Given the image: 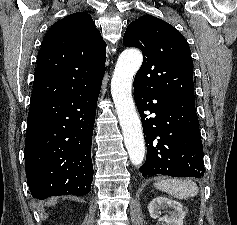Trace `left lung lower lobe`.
Returning a JSON list of instances; mask_svg holds the SVG:
<instances>
[{
    "mask_svg": "<svg viewBox=\"0 0 237 225\" xmlns=\"http://www.w3.org/2000/svg\"><path fill=\"white\" fill-rule=\"evenodd\" d=\"M134 98L147 146L146 162L140 167L142 175L202 177L203 146L195 100L167 98L136 86Z\"/></svg>",
    "mask_w": 237,
    "mask_h": 225,
    "instance_id": "left-lung-lower-lobe-1",
    "label": "left lung lower lobe"
}]
</instances>
